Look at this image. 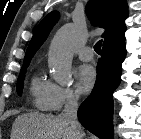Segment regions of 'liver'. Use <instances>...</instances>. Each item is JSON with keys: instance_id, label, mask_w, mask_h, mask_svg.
Returning a JSON list of instances; mask_svg holds the SVG:
<instances>
[{"instance_id": "obj_1", "label": "liver", "mask_w": 141, "mask_h": 139, "mask_svg": "<svg viewBox=\"0 0 141 139\" xmlns=\"http://www.w3.org/2000/svg\"><path fill=\"white\" fill-rule=\"evenodd\" d=\"M73 137L70 124L61 116L40 113L18 116L11 132V139H74Z\"/></svg>"}]
</instances>
